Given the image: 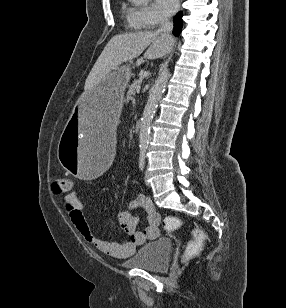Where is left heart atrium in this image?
<instances>
[{"instance_id": "obj_1", "label": "left heart atrium", "mask_w": 286, "mask_h": 308, "mask_svg": "<svg viewBox=\"0 0 286 308\" xmlns=\"http://www.w3.org/2000/svg\"><path fill=\"white\" fill-rule=\"evenodd\" d=\"M154 6L158 12L168 16L176 11L178 0H154Z\"/></svg>"}]
</instances>
